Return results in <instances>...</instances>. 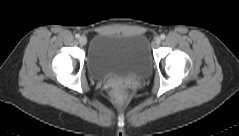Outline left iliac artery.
<instances>
[{
  "instance_id": "44dca946",
  "label": "left iliac artery",
  "mask_w": 239,
  "mask_h": 136,
  "mask_svg": "<svg viewBox=\"0 0 239 136\" xmlns=\"http://www.w3.org/2000/svg\"><path fill=\"white\" fill-rule=\"evenodd\" d=\"M165 37H166L165 34H161L160 36L161 39H165Z\"/></svg>"
}]
</instances>
